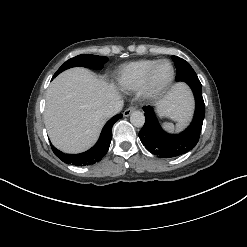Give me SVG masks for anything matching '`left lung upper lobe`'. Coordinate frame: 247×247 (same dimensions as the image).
<instances>
[{"label": "left lung upper lobe", "instance_id": "5c2ea615", "mask_svg": "<svg viewBox=\"0 0 247 247\" xmlns=\"http://www.w3.org/2000/svg\"><path fill=\"white\" fill-rule=\"evenodd\" d=\"M172 59L177 69L176 81H187L190 79H198L195 71L192 69V67L189 65L188 62L177 56H172Z\"/></svg>", "mask_w": 247, "mask_h": 247}]
</instances>
